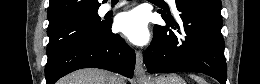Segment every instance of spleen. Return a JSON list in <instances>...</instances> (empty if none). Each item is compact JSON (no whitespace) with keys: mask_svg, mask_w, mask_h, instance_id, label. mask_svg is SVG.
<instances>
[{"mask_svg":"<svg viewBox=\"0 0 260 84\" xmlns=\"http://www.w3.org/2000/svg\"><path fill=\"white\" fill-rule=\"evenodd\" d=\"M192 79H194L198 84H207V82L205 81V79H203L202 77L195 75V74H190L189 75Z\"/></svg>","mask_w":260,"mask_h":84,"instance_id":"3e777b00","label":"spleen"}]
</instances>
